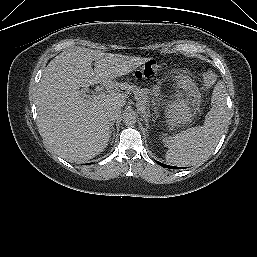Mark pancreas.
<instances>
[{
    "mask_svg": "<svg viewBox=\"0 0 257 257\" xmlns=\"http://www.w3.org/2000/svg\"><path fill=\"white\" fill-rule=\"evenodd\" d=\"M127 89L134 93L135 98L137 100V107L139 110H141V108L148 109L149 102H150L149 95L151 93L149 89L138 88L136 86H129V87H127Z\"/></svg>",
    "mask_w": 257,
    "mask_h": 257,
    "instance_id": "1",
    "label": "pancreas"
}]
</instances>
